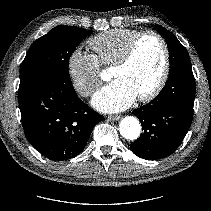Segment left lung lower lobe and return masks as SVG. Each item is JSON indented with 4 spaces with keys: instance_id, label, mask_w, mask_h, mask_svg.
Returning a JSON list of instances; mask_svg holds the SVG:
<instances>
[{
    "instance_id": "left-lung-lower-lobe-1",
    "label": "left lung lower lobe",
    "mask_w": 211,
    "mask_h": 211,
    "mask_svg": "<svg viewBox=\"0 0 211 211\" xmlns=\"http://www.w3.org/2000/svg\"><path fill=\"white\" fill-rule=\"evenodd\" d=\"M195 93L191 64H182L171 70L157 97L133 111L144 132L130 145L131 151L147 160L174 153L192 123Z\"/></svg>"
}]
</instances>
